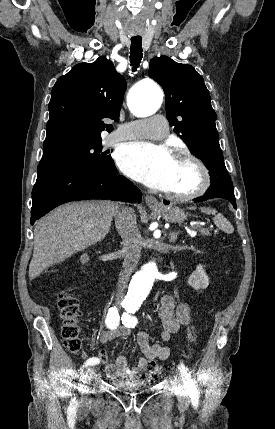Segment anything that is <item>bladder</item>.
Returning <instances> with one entry per match:
<instances>
[{
    "label": "bladder",
    "mask_w": 275,
    "mask_h": 429,
    "mask_svg": "<svg viewBox=\"0 0 275 429\" xmlns=\"http://www.w3.org/2000/svg\"><path fill=\"white\" fill-rule=\"evenodd\" d=\"M115 387L120 388L121 393H142L144 391L143 378H120L113 382Z\"/></svg>",
    "instance_id": "1"
}]
</instances>
